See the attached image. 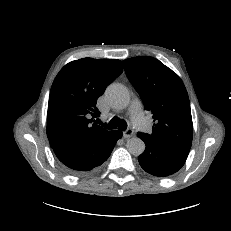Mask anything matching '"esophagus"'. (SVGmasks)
I'll return each instance as SVG.
<instances>
[{
    "instance_id": "1",
    "label": "esophagus",
    "mask_w": 231,
    "mask_h": 231,
    "mask_svg": "<svg viewBox=\"0 0 231 231\" xmlns=\"http://www.w3.org/2000/svg\"><path fill=\"white\" fill-rule=\"evenodd\" d=\"M134 135V131L132 129H127L123 131V137L124 138H130Z\"/></svg>"
}]
</instances>
